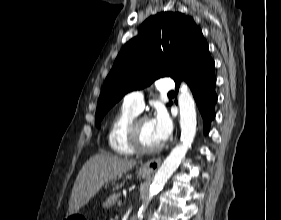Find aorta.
I'll return each mask as SVG.
<instances>
[{"mask_svg":"<svg viewBox=\"0 0 281 220\" xmlns=\"http://www.w3.org/2000/svg\"><path fill=\"white\" fill-rule=\"evenodd\" d=\"M180 111L181 144L177 145L164 160L154 176L149 190L148 201L153 198L165 185L174 171L185 157L188 148L191 146L196 133V110L191 92L183 87L178 95ZM144 206L138 212V219L143 218Z\"/></svg>","mask_w":281,"mask_h":220,"instance_id":"762f6f07","label":"aorta"}]
</instances>
